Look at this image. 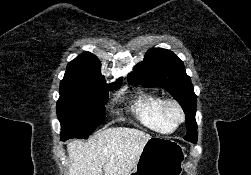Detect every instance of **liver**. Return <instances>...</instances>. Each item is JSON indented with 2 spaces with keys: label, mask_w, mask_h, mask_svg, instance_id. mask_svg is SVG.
I'll list each match as a JSON object with an SVG mask.
<instances>
[{
  "label": "liver",
  "mask_w": 251,
  "mask_h": 175,
  "mask_svg": "<svg viewBox=\"0 0 251 175\" xmlns=\"http://www.w3.org/2000/svg\"><path fill=\"white\" fill-rule=\"evenodd\" d=\"M151 135L131 127H108L88 141L67 143L68 175H129Z\"/></svg>",
  "instance_id": "6515ba94"
}]
</instances>
